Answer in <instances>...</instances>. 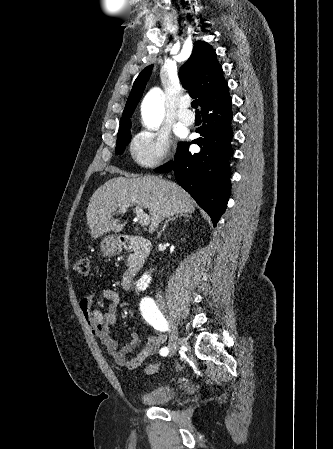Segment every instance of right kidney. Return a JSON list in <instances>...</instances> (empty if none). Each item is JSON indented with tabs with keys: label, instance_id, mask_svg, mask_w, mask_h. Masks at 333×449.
Returning a JSON list of instances; mask_svg holds the SVG:
<instances>
[{
	"label": "right kidney",
	"instance_id": "right-kidney-1",
	"mask_svg": "<svg viewBox=\"0 0 333 449\" xmlns=\"http://www.w3.org/2000/svg\"><path fill=\"white\" fill-rule=\"evenodd\" d=\"M151 280L149 274L145 273L141 276V278L137 281V290H145L148 287V284Z\"/></svg>",
	"mask_w": 333,
	"mask_h": 449
}]
</instances>
